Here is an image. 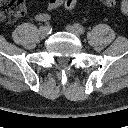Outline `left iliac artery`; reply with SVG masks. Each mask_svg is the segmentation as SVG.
<instances>
[{
  "label": "left iliac artery",
  "mask_w": 128,
  "mask_h": 128,
  "mask_svg": "<svg viewBox=\"0 0 128 128\" xmlns=\"http://www.w3.org/2000/svg\"><path fill=\"white\" fill-rule=\"evenodd\" d=\"M74 27L79 31V33H81V34L85 33V29L83 28L82 25L76 23V24H74Z\"/></svg>",
  "instance_id": "obj_1"
}]
</instances>
